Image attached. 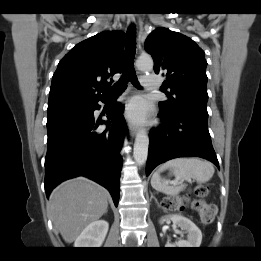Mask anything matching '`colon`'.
<instances>
[{
    "label": "colon",
    "mask_w": 261,
    "mask_h": 261,
    "mask_svg": "<svg viewBox=\"0 0 261 261\" xmlns=\"http://www.w3.org/2000/svg\"><path fill=\"white\" fill-rule=\"evenodd\" d=\"M208 187L205 185H197L193 190L192 194L197 197L192 203V207L199 214L200 220L204 224H210L213 222L216 208L213 204H207L204 202L203 198L208 195ZM186 198L181 196H170L162 200L161 206L172 212H178L184 209Z\"/></svg>",
    "instance_id": "5ec220e1"
}]
</instances>
